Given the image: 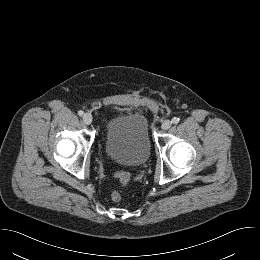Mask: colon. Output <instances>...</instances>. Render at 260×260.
<instances>
[{"label":"colon","mask_w":260,"mask_h":260,"mask_svg":"<svg viewBox=\"0 0 260 260\" xmlns=\"http://www.w3.org/2000/svg\"><path fill=\"white\" fill-rule=\"evenodd\" d=\"M115 176L119 179L123 186H125L129 181V174L126 172H117ZM110 197L114 203H118L122 200V195L118 191L112 192Z\"/></svg>","instance_id":"obj_1"}]
</instances>
